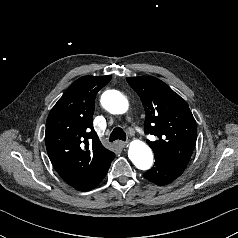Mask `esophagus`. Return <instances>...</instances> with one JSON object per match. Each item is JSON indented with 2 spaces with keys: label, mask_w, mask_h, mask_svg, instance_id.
<instances>
[{
  "label": "esophagus",
  "mask_w": 238,
  "mask_h": 238,
  "mask_svg": "<svg viewBox=\"0 0 238 238\" xmlns=\"http://www.w3.org/2000/svg\"><path fill=\"white\" fill-rule=\"evenodd\" d=\"M117 144L120 146V147H126L128 145L127 142L125 141H118Z\"/></svg>",
  "instance_id": "1"
}]
</instances>
